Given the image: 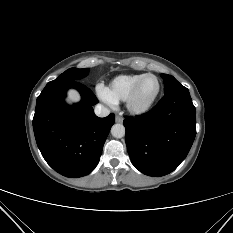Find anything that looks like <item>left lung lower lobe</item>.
Here are the masks:
<instances>
[{"label": "left lung lower lobe", "mask_w": 233, "mask_h": 233, "mask_svg": "<svg viewBox=\"0 0 233 233\" xmlns=\"http://www.w3.org/2000/svg\"><path fill=\"white\" fill-rule=\"evenodd\" d=\"M123 124L132 164L148 176L174 171L187 156L195 135V107L188 90L173 92L146 114Z\"/></svg>", "instance_id": "left-lung-lower-lobe-1"}]
</instances>
